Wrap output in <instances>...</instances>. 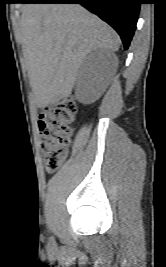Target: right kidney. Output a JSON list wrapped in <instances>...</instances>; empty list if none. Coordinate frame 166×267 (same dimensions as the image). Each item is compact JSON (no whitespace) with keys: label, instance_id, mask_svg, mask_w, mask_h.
Returning a JSON list of instances; mask_svg holds the SVG:
<instances>
[{"label":"right kidney","instance_id":"ca27d5eb","mask_svg":"<svg viewBox=\"0 0 166 267\" xmlns=\"http://www.w3.org/2000/svg\"><path fill=\"white\" fill-rule=\"evenodd\" d=\"M108 72L109 60L103 50L91 53L88 56V64L81 69L77 80L78 101L83 104L96 101L105 89V77Z\"/></svg>","mask_w":166,"mask_h":267}]
</instances>
